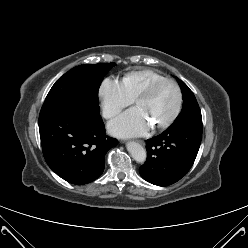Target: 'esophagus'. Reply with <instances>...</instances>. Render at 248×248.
I'll use <instances>...</instances> for the list:
<instances>
[{
  "label": "esophagus",
  "instance_id": "obj_1",
  "mask_svg": "<svg viewBox=\"0 0 248 248\" xmlns=\"http://www.w3.org/2000/svg\"><path fill=\"white\" fill-rule=\"evenodd\" d=\"M138 143L140 144H144V141L143 140H136Z\"/></svg>",
  "mask_w": 248,
  "mask_h": 248
}]
</instances>
